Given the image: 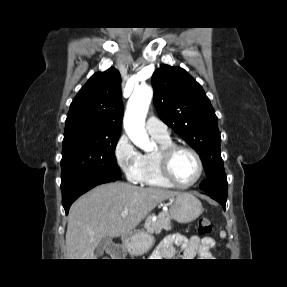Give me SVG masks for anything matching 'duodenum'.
I'll return each mask as SVG.
<instances>
[{
  "instance_id": "duodenum-1",
  "label": "duodenum",
  "mask_w": 287,
  "mask_h": 287,
  "mask_svg": "<svg viewBox=\"0 0 287 287\" xmlns=\"http://www.w3.org/2000/svg\"><path fill=\"white\" fill-rule=\"evenodd\" d=\"M125 242H126V244H128L130 242V239L128 237H126Z\"/></svg>"
}]
</instances>
